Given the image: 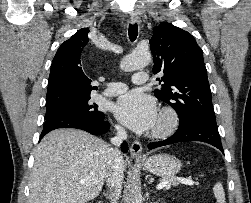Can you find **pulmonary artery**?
Instances as JSON below:
<instances>
[{
  "instance_id": "e3ab8cb5",
  "label": "pulmonary artery",
  "mask_w": 251,
  "mask_h": 203,
  "mask_svg": "<svg viewBox=\"0 0 251 203\" xmlns=\"http://www.w3.org/2000/svg\"><path fill=\"white\" fill-rule=\"evenodd\" d=\"M134 84H143L148 81V75L145 72L135 73L132 76ZM127 85L122 82H111L108 89L103 93L105 96H116L127 90Z\"/></svg>"
}]
</instances>
